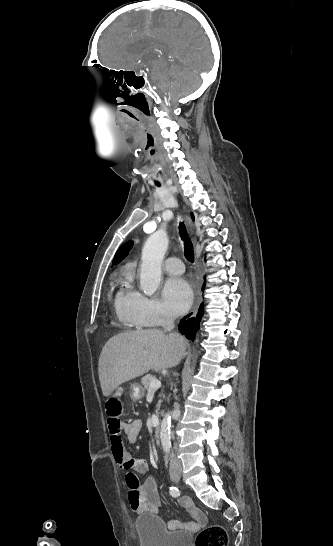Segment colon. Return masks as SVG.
Returning <instances> with one entry per match:
<instances>
[{"label":"colon","instance_id":"1","mask_svg":"<svg viewBox=\"0 0 333 546\" xmlns=\"http://www.w3.org/2000/svg\"><path fill=\"white\" fill-rule=\"evenodd\" d=\"M123 403L122 396H111L105 401L104 407L110 422H117L119 420ZM195 546H228L227 532L221 526H209L198 533Z\"/></svg>","mask_w":333,"mask_h":546}]
</instances>
